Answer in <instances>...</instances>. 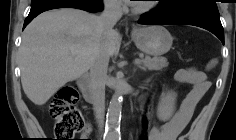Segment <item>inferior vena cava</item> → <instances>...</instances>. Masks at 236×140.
Here are the masks:
<instances>
[{"mask_svg": "<svg viewBox=\"0 0 236 140\" xmlns=\"http://www.w3.org/2000/svg\"><path fill=\"white\" fill-rule=\"evenodd\" d=\"M122 17L120 2L117 0H105L104 10L99 17L100 26L104 34H111L113 27ZM109 55L105 52L100 53L90 68L92 104L95 112V118L100 129L104 126L105 115V82L107 78V69Z\"/></svg>", "mask_w": 236, "mask_h": 140, "instance_id": "obj_1", "label": "inferior vena cava"}]
</instances>
